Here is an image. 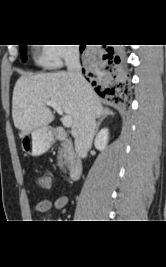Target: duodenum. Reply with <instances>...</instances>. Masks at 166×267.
I'll return each instance as SVG.
<instances>
[{
    "label": "duodenum",
    "mask_w": 166,
    "mask_h": 267,
    "mask_svg": "<svg viewBox=\"0 0 166 267\" xmlns=\"http://www.w3.org/2000/svg\"><path fill=\"white\" fill-rule=\"evenodd\" d=\"M53 138L55 140H60V141H68L69 137L67 132L62 129V128H55L53 131ZM83 172V162L81 159L75 157L72 159L69 171H68V176L70 180H77L80 178L81 174Z\"/></svg>",
    "instance_id": "obj_1"
}]
</instances>
